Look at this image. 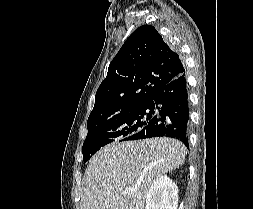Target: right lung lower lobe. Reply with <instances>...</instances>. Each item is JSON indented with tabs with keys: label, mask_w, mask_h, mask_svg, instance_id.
Masks as SVG:
<instances>
[{
	"label": "right lung lower lobe",
	"mask_w": 253,
	"mask_h": 209,
	"mask_svg": "<svg viewBox=\"0 0 253 209\" xmlns=\"http://www.w3.org/2000/svg\"><path fill=\"white\" fill-rule=\"evenodd\" d=\"M154 114L147 125L127 140L170 137L188 148L189 104L185 72L170 81L149 103Z\"/></svg>",
	"instance_id": "1"
}]
</instances>
